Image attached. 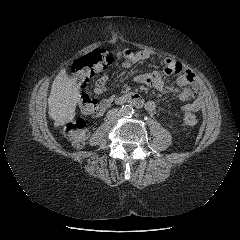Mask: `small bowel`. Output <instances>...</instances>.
Returning a JSON list of instances; mask_svg holds the SVG:
<instances>
[{
    "label": "small bowel",
    "instance_id": "obj_1",
    "mask_svg": "<svg viewBox=\"0 0 240 240\" xmlns=\"http://www.w3.org/2000/svg\"><path fill=\"white\" fill-rule=\"evenodd\" d=\"M118 57L122 60V66L130 68L143 60L150 57V53L146 50L131 51L129 49L122 50ZM162 73L164 75L177 74V86L182 88L181 93L175 99L176 103H184L181 109L185 112H197L200 110L202 102L198 94V85L194 73L186 67L184 64L172 59L166 58L164 60V67ZM109 75L105 74L101 76L94 85V92L97 95H102L107 92ZM136 82L144 83L155 87L161 93H167L162 74L159 72H153L149 74H142L134 78ZM114 100V96L101 100L99 104L98 116L102 115L111 105ZM157 102L155 99L145 101V108L147 110H154Z\"/></svg>",
    "mask_w": 240,
    "mask_h": 240
}]
</instances>
